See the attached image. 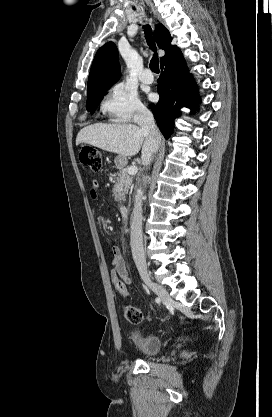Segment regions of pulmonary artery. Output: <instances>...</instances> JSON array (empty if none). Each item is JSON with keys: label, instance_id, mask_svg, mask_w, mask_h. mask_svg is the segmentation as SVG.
<instances>
[{"label": "pulmonary artery", "instance_id": "e3ab8cb5", "mask_svg": "<svg viewBox=\"0 0 272 417\" xmlns=\"http://www.w3.org/2000/svg\"><path fill=\"white\" fill-rule=\"evenodd\" d=\"M140 80L143 83L151 84L154 80V77H153V75H152V73L150 72L149 69H145L140 76Z\"/></svg>", "mask_w": 272, "mask_h": 417}]
</instances>
